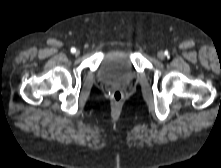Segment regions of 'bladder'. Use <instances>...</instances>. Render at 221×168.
Here are the masks:
<instances>
[{
  "label": "bladder",
  "instance_id": "obj_1",
  "mask_svg": "<svg viewBox=\"0 0 221 168\" xmlns=\"http://www.w3.org/2000/svg\"><path fill=\"white\" fill-rule=\"evenodd\" d=\"M135 73L131 55L124 49H116L108 53L98 71L99 78L107 83L130 81Z\"/></svg>",
  "mask_w": 221,
  "mask_h": 168
}]
</instances>
